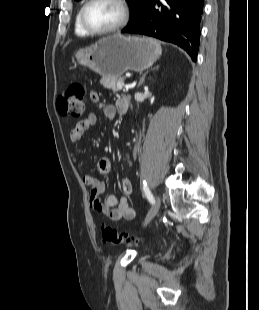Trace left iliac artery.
Wrapping results in <instances>:
<instances>
[{
	"label": "left iliac artery",
	"mask_w": 259,
	"mask_h": 310,
	"mask_svg": "<svg viewBox=\"0 0 259 310\" xmlns=\"http://www.w3.org/2000/svg\"><path fill=\"white\" fill-rule=\"evenodd\" d=\"M143 190H144V194L146 195L149 202L151 204H154L155 203L154 197H153L151 191L149 190L147 182L145 180L143 181Z\"/></svg>",
	"instance_id": "left-iliac-artery-1"
}]
</instances>
